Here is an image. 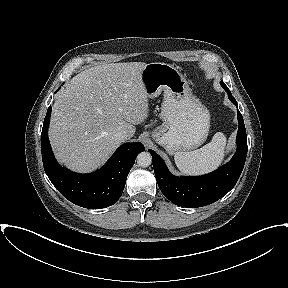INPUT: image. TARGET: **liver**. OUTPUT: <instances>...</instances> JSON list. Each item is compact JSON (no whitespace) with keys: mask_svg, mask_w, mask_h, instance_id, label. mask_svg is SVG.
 <instances>
[{"mask_svg":"<svg viewBox=\"0 0 288 288\" xmlns=\"http://www.w3.org/2000/svg\"><path fill=\"white\" fill-rule=\"evenodd\" d=\"M144 62L111 63L88 68L74 76L56 97L49 138L57 160L87 173L101 166L134 125L149 115L148 96L141 80ZM124 140V141H125Z\"/></svg>","mask_w":288,"mask_h":288,"instance_id":"6515ba94","label":"liver"}]
</instances>
